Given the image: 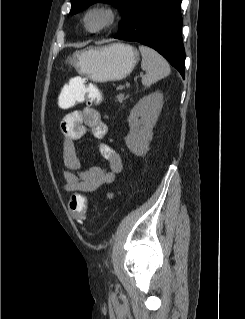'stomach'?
I'll list each match as a JSON object with an SVG mask.
<instances>
[{"label": "stomach", "mask_w": 245, "mask_h": 319, "mask_svg": "<svg viewBox=\"0 0 245 319\" xmlns=\"http://www.w3.org/2000/svg\"><path fill=\"white\" fill-rule=\"evenodd\" d=\"M138 60L139 53L134 47L113 43L77 51L67 58L66 63L92 81L108 82L126 78Z\"/></svg>", "instance_id": "obj_1"}]
</instances>
